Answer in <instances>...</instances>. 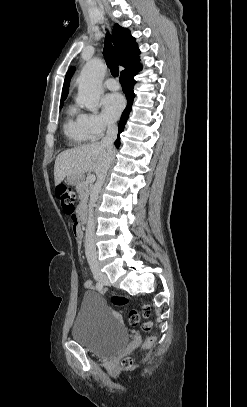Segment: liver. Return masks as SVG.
<instances>
[{"label":"liver","mask_w":247,"mask_h":407,"mask_svg":"<svg viewBox=\"0 0 247 407\" xmlns=\"http://www.w3.org/2000/svg\"><path fill=\"white\" fill-rule=\"evenodd\" d=\"M113 150L92 143L66 150L60 153L54 165L55 185H59L66 176H82L86 172L94 171L98 176L110 164Z\"/></svg>","instance_id":"liver-1"}]
</instances>
